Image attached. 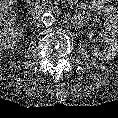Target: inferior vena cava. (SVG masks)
Segmentation results:
<instances>
[{"instance_id": "inferior-vena-cava-1", "label": "inferior vena cava", "mask_w": 118, "mask_h": 118, "mask_svg": "<svg viewBox=\"0 0 118 118\" xmlns=\"http://www.w3.org/2000/svg\"><path fill=\"white\" fill-rule=\"evenodd\" d=\"M36 24L39 26V25L41 24V22H40V21H38Z\"/></svg>"}]
</instances>
